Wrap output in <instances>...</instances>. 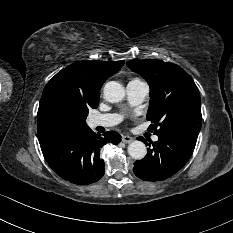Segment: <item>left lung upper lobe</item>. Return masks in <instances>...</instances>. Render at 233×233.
I'll return each instance as SVG.
<instances>
[{
	"label": "left lung upper lobe",
	"mask_w": 233,
	"mask_h": 233,
	"mask_svg": "<svg viewBox=\"0 0 233 233\" xmlns=\"http://www.w3.org/2000/svg\"><path fill=\"white\" fill-rule=\"evenodd\" d=\"M150 85L149 129L164 135L189 125L201 126V101L192 78L179 66L159 60L128 61Z\"/></svg>",
	"instance_id": "1"
}]
</instances>
